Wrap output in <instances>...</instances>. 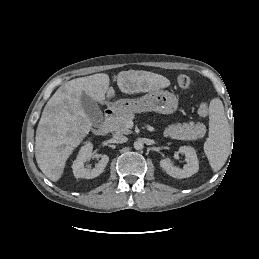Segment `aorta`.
<instances>
[{"instance_id": "762f6f07", "label": "aorta", "mask_w": 259, "mask_h": 259, "mask_svg": "<svg viewBox=\"0 0 259 259\" xmlns=\"http://www.w3.org/2000/svg\"><path fill=\"white\" fill-rule=\"evenodd\" d=\"M143 147H144L143 142H141V141H135V142H134V148H135L136 150H142Z\"/></svg>"}]
</instances>
